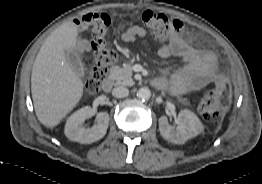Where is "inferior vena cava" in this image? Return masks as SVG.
Returning a JSON list of instances; mask_svg holds the SVG:
<instances>
[{
    "label": "inferior vena cava",
    "instance_id": "602c4592",
    "mask_svg": "<svg viewBox=\"0 0 262 184\" xmlns=\"http://www.w3.org/2000/svg\"><path fill=\"white\" fill-rule=\"evenodd\" d=\"M129 90L126 87L118 86L112 90V95L116 98H123L128 96Z\"/></svg>",
    "mask_w": 262,
    "mask_h": 184
}]
</instances>
